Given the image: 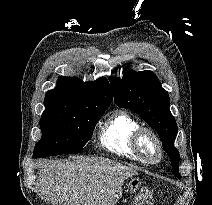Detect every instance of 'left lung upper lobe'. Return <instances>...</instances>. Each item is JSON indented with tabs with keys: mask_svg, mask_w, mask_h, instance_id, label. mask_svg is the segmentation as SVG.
Returning a JSON list of instances; mask_svg holds the SVG:
<instances>
[{
	"mask_svg": "<svg viewBox=\"0 0 212 205\" xmlns=\"http://www.w3.org/2000/svg\"><path fill=\"white\" fill-rule=\"evenodd\" d=\"M110 83L117 106L136 112L156 130L171 159L173 174L181 179L179 152L174 147L178 128L169 110L168 92L161 87L156 75L152 71H127L122 79L111 77Z\"/></svg>",
	"mask_w": 212,
	"mask_h": 205,
	"instance_id": "obj_1",
	"label": "left lung upper lobe"
}]
</instances>
